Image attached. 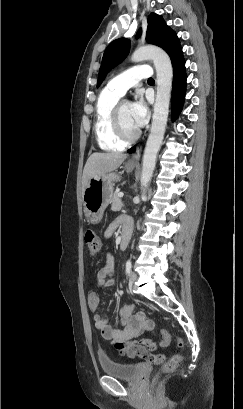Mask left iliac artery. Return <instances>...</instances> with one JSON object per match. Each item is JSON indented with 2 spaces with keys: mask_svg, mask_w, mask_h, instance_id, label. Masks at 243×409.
Wrapping results in <instances>:
<instances>
[{
  "mask_svg": "<svg viewBox=\"0 0 243 409\" xmlns=\"http://www.w3.org/2000/svg\"><path fill=\"white\" fill-rule=\"evenodd\" d=\"M131 268H132V262H131L130 260H128V261L126 262V273H127V274H130Z\"/></svg>",
  "mask_w": 243,
  "mask_h": 409,
  "instance_id": "obj_1",
  "label": "left iliac artery"
}]
</instances>
